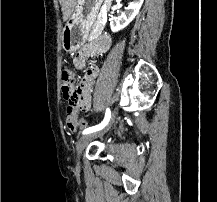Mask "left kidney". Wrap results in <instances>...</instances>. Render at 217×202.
Here are the masks:
<instances>
[{"instance_id":"obj_1","label":"left kidney","mask_w":217,"mask_h":202,"mask_svg":"<svg viewBox=\"0 0 217 202\" xmlns=\"http://www.w3.org/2000/svg\"><path fill=\"white\" fill-rule=\"evenodd\" d=\"M143 2L144 0H132V2L128 4L127 8H124V12H121L119 18H116V20H110L111 32H119V30L126 28V26L134 20L135 16L139 14Z\"/></svg>"}]
</instances>
